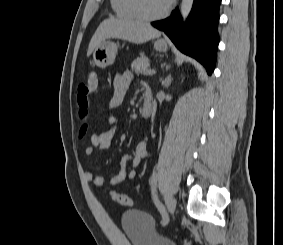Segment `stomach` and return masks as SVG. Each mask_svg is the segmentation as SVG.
Wrapping results in <instances>:
<instances>
[{
  "label": "stomach",
  "mask_w": 283,
  "mask_h": 245,
  "mask_svg": "<svg viewBox=\"0 0 283 245\" xmlns=\"http://www.w3.org/2000/svg\"><path fill=\"white\" fill-rule=\"evenodd\" d=\"M154 48L159 52L167 50V43L158 40L154 43ZM118 44L112 41H102L93 53V61L97 67L106 68L112 65L117 55Z\"/></svg>",
  "instance_id": "1"
}]
</instances>
